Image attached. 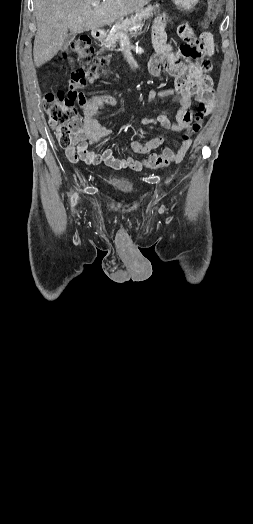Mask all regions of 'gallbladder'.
Returning <instances> with one entry per match:
<instances>
[{
    "label": "gallbladder",
    "mask_w": 253,
    "mask_h": 524,
    "mask_svg": "<svg viewBox=\"0 0 253 524\" xmlns=\"http://www.w3.org/2000/svg\"><path fill=\"white\" fill-rule=\"evenodd\" d=\"M75 38V33H69L67 35V37L65 38L64 42H63V45L61 47V51H65L68 46L70 45V43L73 41V39Z\"/></svg>",
    "instance_id": "1"
}]
</instances>
